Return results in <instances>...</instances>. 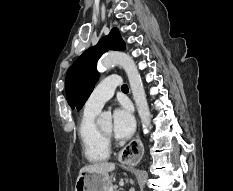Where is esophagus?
I'll return each instance as SVG.
<instances>
[{
	"instance_id": "esophagus-1",
	"label": "esophagus",
	"mask_w": 233,
	"mask_h": 191,
	"mask_svg": "<svg viewBox=\"0 0 233 191\" xmlns=\"http://www.w3.org/2000/svg\"><path fill=\"white\" fill-rule=\"evenodd\" d=\"M143 144L137 135L128 145L119 153V159L123 164H138L139 157L143 154Z\"/></svg>"
}]
</instances>
